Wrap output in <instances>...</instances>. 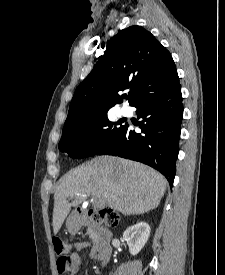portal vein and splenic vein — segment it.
Returning a JSON list of instances; mask_svg holds the SVG:
<instances>
[{"label": "portal vein and splenic vein", "mask_w": 225, "mask_h": 275, "mask_svg": "<svg viewBox=\"0 0 225 275\" xmlns=\"http://www.w3.org/2000/svg\"><path fill=\"white\" fill-rule=\"evenodd\" d=\"M95 204L98 206V207H102L103 204L100 200H95Z\"/></svg>", "instance_id": "1"}]
</instances>
